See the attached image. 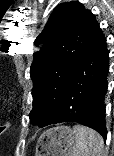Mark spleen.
<instances>
[{"instance_id": "obj_1", "label": "spleen", "mask_w": 114, "mask_h": 156, "mask_svg": "<svg viewBox=\"0 0 114 156\" xmlns=\"http://www.w3.org/2000/svg\"><path fill=\"white\" fill-rule=\"evenodd\" d=\"M76 143L70 152V156H106L104 154V141L102 136L82 125L74 127Z\"/></svg>"}]
</instances>
